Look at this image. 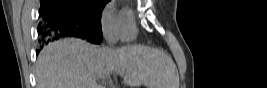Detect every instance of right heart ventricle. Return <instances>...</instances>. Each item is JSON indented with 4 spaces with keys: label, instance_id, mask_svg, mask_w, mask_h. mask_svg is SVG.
<instances>
[{
    "label": "right heart ventricle",
    "instance_id": "1",
    "mask_svg": "<svg viewBox=\"0 0 267 88\" xmlns=\"http://www.w3.org/2000/svg\"><path fill=\"white\" fill-rule=\"evenodd\" d=\"M121 36L125 41H130L136 37V26L133 20V13L130 9H123L121 11Z\"/></svg>",
    "mask_w": 267,
    "mask_h": 88
}]
</instances>
